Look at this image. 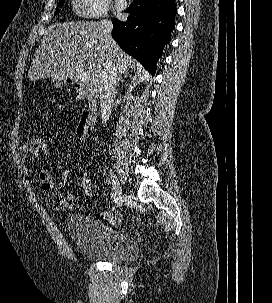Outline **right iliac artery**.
<instances>
[{"mask_svg":"<svg viewBox=\"0 0 272 303\" xmlns=\"http://www.w3.org/2000/svg\"><path fill=\"white\" fill-rule=\"evenodd\" d=\"M111 198L113 199V201L115 203H117L118 198H117V196H116V194L114 192L111 193Z\"/></svg>","mask_w":272,"mask_h":303,"instance_id":"1","label":"right iliac artery"}]
</instances>
